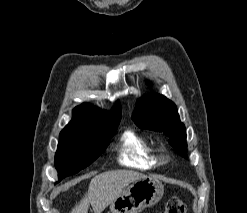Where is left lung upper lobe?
<instances>
[{
    "mask_svg": "<svg viewBox=\"0 0 247 213\" xmlns=\"http://www.w3.org/2000/svg\"><path fill=\"white\" fill-rule=\"evenodd\" d=\"M132 119L137 126L165 133L170 144L187 157L186 129L175 104L163 95H146L137 103Z\"/></svg>",
    "mask_w": 247,
    "mask_h": 213,
    "instance_id": "1",
    "label": "left lung upper lobe"
}]
</instances>
